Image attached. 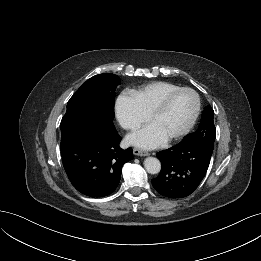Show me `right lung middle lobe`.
<instances>
[{"instance_id": "obj_1", "label": "right lung middle lobe", "mask_w": 261, "mask_h": 261, "mask_svg": "<svg viewBox=\"0 0 261 261\" xmlns=\"http://www.w3.org/2000/svg\"><path fill=\"white\" fill-rule=\"evenodd\" d=\"M119 84V77L111 73L95 75L88 79L68 101L67 111L60 124L61 132L88 122H112L115 90Z\"/></svg>"}]
</instances>
